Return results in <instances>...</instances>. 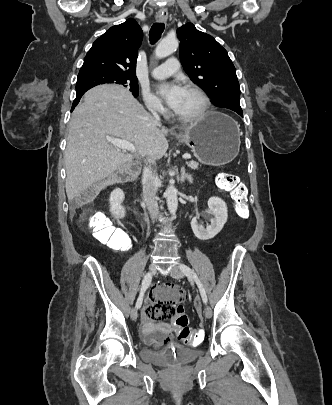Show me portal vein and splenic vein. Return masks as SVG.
<instances>
[{
	"label": "portal vein and splenic vein",
	"instance_id": "obj_1",
	"mask_svg": "<svg viewBox=\"0 0 332 405\" xmlns=\"http://www.w3.org/2000/svg\"><path fill=\"white\" fill-rule=\"evenodd\" d=\"M107 140H108L112 145H114L115 147L119 148L120 150H128V151H130V152H135V146H134L131 142H129V141L121 140V139H118V138H112V137H110V136L107 137ZM183 158H184V159H189L190 156L187 155V154H185V155H183Z\"/></svg>",
	"mask_w": 332,
	"mask_h": 405
}]
</instances>
